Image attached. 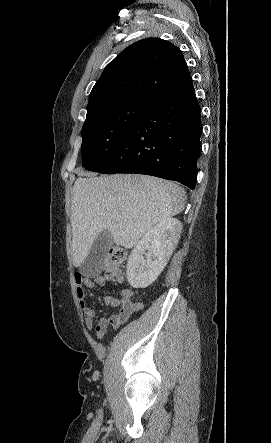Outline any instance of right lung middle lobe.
<instances>
[{
  "instance_id": "right-lung-middle-lobe-1",
  "label": "right lung middle lobe",
  "mask_w": 271,
  "mask_h": 443,
  "mask_svg": "<svg viewBox=\"0 0 271 443\" xmlns=\"http://www.w3.org/2000/svg\"><path fill=\"white\" fill-rule=\"evenodd\" d=\"M150 104L143 99H124L97 106L82 128L83 167L94 171L102 166Z\"/></svg>"
}]
</instances>
